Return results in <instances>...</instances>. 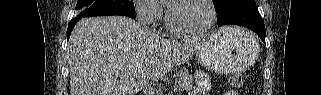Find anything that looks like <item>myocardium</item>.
I'll return each instance as SVG.
<instances>
[{
  "instance_id": "myocardium-1",
  "label": "myocardium",
  "mask_w": 321,
  "mask_h": 95,
  "mask_svg": "<svg viewBox=\"0 0 321 95\" xmlns=\"http://www.w3.org/2000/svg\"><path fill=\"white\" fill-rule=\"evenodd\" d=\"M186 1H190V0H173L166 5V17H165L166 28L172 34H174L176 36H181V37H197V36H202V35L206 34L214 25V23L216 21V17H217V13H216V9H215L213 1L212 0H201L209 8V21L203 29H200L197 31L179 29L174 25V23L172 21L171 8L174 5H177L179 3L186 2Z\"/></svg>"
}]
</instances>
